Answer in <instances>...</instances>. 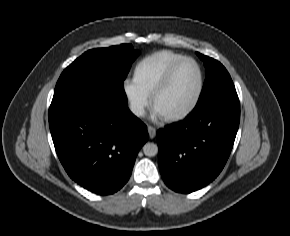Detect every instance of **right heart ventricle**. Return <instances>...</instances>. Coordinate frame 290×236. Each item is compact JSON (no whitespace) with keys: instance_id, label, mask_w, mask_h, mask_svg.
I'll return each instance as SVG.
<instances>
[{"instance_id":"1","label":"right heart ventricle","mask_w":290,"mask_h":236,"mask_svg":"<svg viewBox=\"0 0 290 236\" xmlns=\"http://www.w3.org/2000/svg\"><path fill=\"white\" fill-rule=\"evenodd\" d=\"M181 59V56L172 52H161L146 58L135 72V84L148 95L170 67Z\"/></svg>"}]
</instances>
